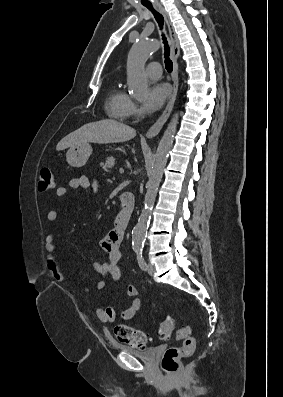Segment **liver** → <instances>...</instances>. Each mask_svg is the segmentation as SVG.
<instances>
[{"mask_svg":"<svg viewBox=\"0 0 283 397\" xmlns=\"http://www.w3.org/2000/svg\"><path fill=\"white\" fill-rule=\"evenodd\" d=\"M136 131L121 122L104 119L83 125L81 128L65 136L56 146V150H64L82 143H119L131 140Z\"/></svg>","mask_w":283,"mask_h":397,"instance_id":"1","label":"liver"}]
</instances>
